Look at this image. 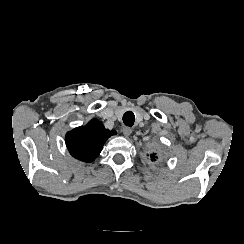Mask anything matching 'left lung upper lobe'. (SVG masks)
<instances>
[{
    "label": "left lung upper lobe",
    "instance_id": "1",
    "mask_svg": "<svg viewBox=\"0 0 244 244\" xmlns=\"http://www.w3.org/2000/svg\"><path fill=\"white\" fill-rule=\"evenodd\" d=\"M150 157H151V160H155V158H156L155 154H151Z\"/></svg>",
    "mask_w": 244,
    "mask_h": 244
}]
</instances>
